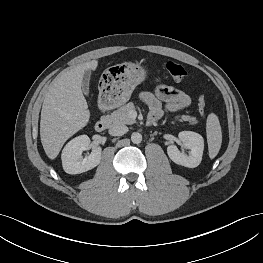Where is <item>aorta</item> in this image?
<instances>
[{"label": "aorta", "instance_id": "aorta-1", "mask_svg": "<svg viewBox=\"0 0 263 263\" xmlns=\"http://www.w3.org/2000/svg\"><path fill=\"white\" fill-rule=\"evenodd\" d=\"M131 141L134 143V144H139L141 143L142 141V135L138 132H134L132 133L131 135Z\"/></svg>", "mask_w": 263, "mask_h": 263}]
</instances>
